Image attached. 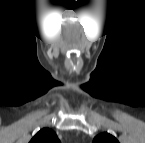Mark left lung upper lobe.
Instances as JSON below:
<instances>
[{
    "label": "left lung upper lobe",
    "mask_w": 145,
    "mask_h": 143,
    "mask_svg": "<svg viewBox=\"0 0 145 143\" xmlns=\"http://www.w3.org/2000/svg\"><path fill=\"white\" fill-rule=\"evenodd\" d=\"M94 143H118V140L108 134V133H102V134H99L97 135L95 138H94Z\"/></svg>",
    "instance_id": "obj_1"
}]
</instances>
